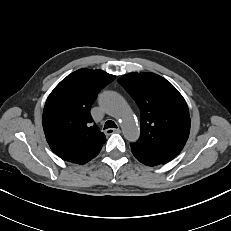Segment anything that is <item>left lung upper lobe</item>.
<instances>
[{
    "mask_svg": "<svg viewBox=\"0 0 231 231\" xmlns=\"http://www.w3.org/2000/svg\"><path fill=\"white\" fill-rule=\"evenodd\" d=\"M141 112L140 138L131 146L177 156L189 136L188 106L165 78L151 73H130L118 79Z\"/></svg>",
    "mask_w": 231,
    "mask_h": 231,
    "instance_id": "5c2ea615",
    "label": "left lung upper lobe"
}]
</instances>
